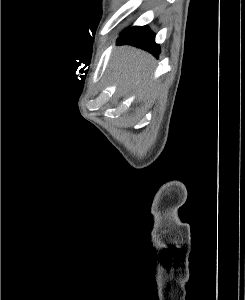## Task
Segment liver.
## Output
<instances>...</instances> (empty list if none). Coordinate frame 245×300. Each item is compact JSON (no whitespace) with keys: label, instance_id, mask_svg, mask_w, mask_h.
<instances>
[{"label":"liver","instance_id":"liver-1","mask_svg":"<svg viewBox=\"0 0 245 300\" xmlns=\"http://www.w3.org/2000/svg\"><path fill=\"white\" fill-rule=\"evenodd\" d=\"M154 58L141 50L122 46L114 53L112 70L119 87L128 92L133 90L138 97L145 94L150 86L148 78L153 69Z\"/></svg>","mask_w":245,"mask_h":300}]
</instances>
